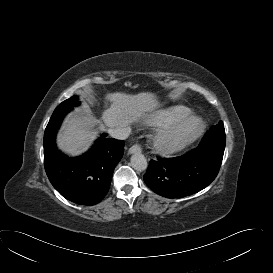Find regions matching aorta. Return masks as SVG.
Wrapping results in <instances>:
<instances>
[{"label":"aorta","instance_id":"aorta-1","mask_svg":"<svg viewBox=\"0 0 273 273\" xmlns=\"http://www.w3.org/2000/svg\"><path fill=\"white\" fill-rule=\"evenodd\" d=\"M130 161H131V166L139 172L145 171L148 167L147 159L141 152L134 153L131 156Z\"/></svg>","mask_w":273,"mask_h":273}]
</instances>
